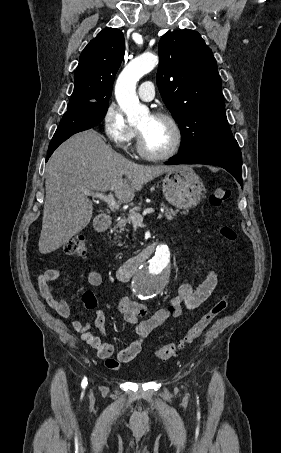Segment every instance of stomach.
<instances>
[{
  "label": "stomach",
  "instance_id": "stomach-1",
  "mask_svg": "<svg viewBox=\"0 0 281 453\" xmlns=\"http://www.w3.org/2000/svg\"><path fill=\"white\" fill-rule=\"evenodd\" d=\"M162 190L170 204L177 208H193L202 198L204 184L191 166H185L166 172Z\"/></svg>",
  "mask_w": 281,
  "mask_h": 453
}]
</instances>
